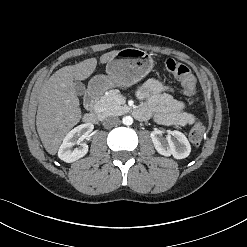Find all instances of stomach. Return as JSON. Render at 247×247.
Instances as JSON below:
<instances>
[{
	"mask_svg": "<svg viewBox=\"0 0 247 247\" xmlns=\"http://www.w3.org/2000/svg\"><path fill=\"white\" fill-rule=\"evenodd\" d=\"M151 56L140 49L125 48L108 61L107 75H97L90 80L92 90L105 91L114 86L128 87L144 78L153 68Z\"/></svg>",
	"mask_w": 247,
	"mask_h": 247,
	"instance_id": "stomach-1",
	"label": "stomach"
}]
</instances>
